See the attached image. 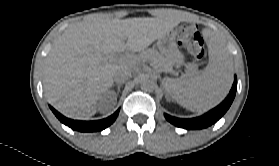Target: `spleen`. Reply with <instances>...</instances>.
I'll return each mask as SVG.
<instances>
[{"label":"spleen","instance_id":"obj_1","mask_svg":"<svg viewBox=\"0 0 279 166\" xmlns=\"http://www.w3.org/2000/svg\"><path fill=\"white\" fill-rule=\"evenodd\" d=\"M209 63L194 76L184 79L163 78L162 85L173 100L191 111H205L219 104L232 83V62L225 45L207 34Z\"/></svg>","mask_w":279,"mask_h":166}]
</instances>
